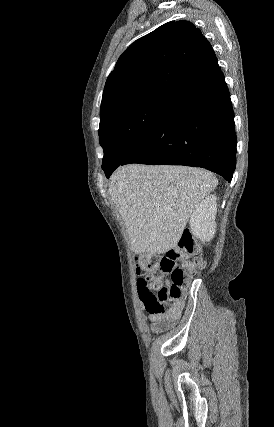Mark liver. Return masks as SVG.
<instances>
[{
  "instance_id": "obj_1",
  "label": "liver",
  "mask_w": 274,
  "mask_h": 427,
  "mask_svg": "<svg viewBox=\"0 0 274 427\" xmlns=\"http://www.w3.org/2000/svg\"><path fill=\"white\" fill-rule=\"evenodd\" d=\"M218 186L214 174L187 166H121L109 194L127 227L134 253L176 247L189 215Z\"/></svg>"
}]
</instances>
